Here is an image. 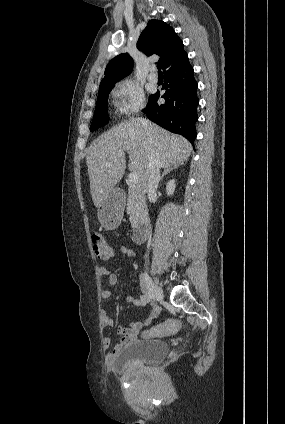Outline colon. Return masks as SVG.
I'll return each mask as SVG.
<instances>
[{"label": "colon", "mask_w": 285, "mask_h": 424, "mask_svg": "<svg viewBox=\"0 0 285 424\" xmlns=\"http://www.w3.org/2000/svg\"><path fill=\"white\" fill-rule=\"evenodd\" d=\"M94 255L101 260H107L113 256V247L110 241L103 235L95 234L92 237ZM180 328L177 321L169 319L144 332L145 338L162 337L176 333Z\"/></svg>", "instance_id": "1"}]
</instances>
